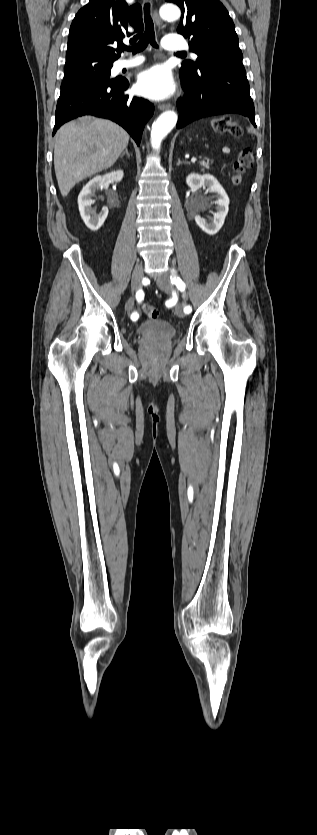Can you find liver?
Segmentation results:
<instances>
[{
    "instance_id": "obj_1",
    "label": "liver",
    "mask_w": 317,
    "mask_h": 835,
    "mask_svg": "<svg viewBox=\"0 0 317 835\" xmlns=\"http://www.w3.org/2000/svg\"><path fill=\"white\" fill-rule=\"evenodd\" d=\"M129 142V134L116 123L82 117L56 133L54 167L63 197L84 178L111 167Z\"/></svg>"
}]
</instances>
